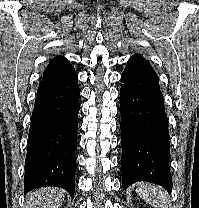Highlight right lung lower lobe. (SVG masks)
Wrapping results in <instances>:
<instances>
[{
  "mask_svg": "<svg viewBox=\"0 0 199 208\" xmlns=\"http://www.w3.org/2000/svg\"><path fill=\"white\" fill-rule=\"evenodd\" d=\"M79 97L76 74L40 83L28 135L24 193L57 186L73 197Z\"/></svg>",
  "mask_w": 199,
  "mask_h": 208,
  "instance_id": "obj_1",
  "label": "right lung lower lobe"
}]
</instances>
